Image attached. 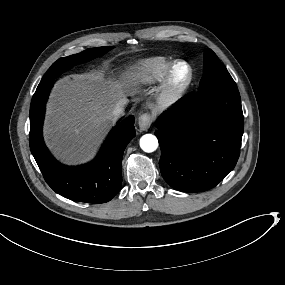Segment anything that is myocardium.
<instances>
[{
  "instance_id": "obj_1",
  "label": "myocardium",
  "mask_w": 285,
  "mask_h": 285,
  "mask_svg": "<svg viewBox=\"0 0 285 285\" xmlns=\"http://www.w3.org/2000/svg\"><path fill=\"white\" fill-rule=\"evenodd\" d=\"M190 77V72L182 75L176 69H171L155 90L153 104L164 107L178 101L183 96Z\"/></svg>"
}]
</instances>
